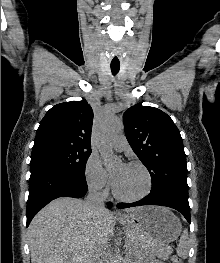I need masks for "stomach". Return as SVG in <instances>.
<instances>
[{
	"mask_svg": "<svg viewBox=\"0 0 220 263\" xmlns=\"http://www.w3.org/2000/svg\"><path fill=\"white\" fill-rule=\"evenodd\" d=\"M118 220L127 230L137 233L138 248L149 249L152 244H168L178 238L182 229L177 216L160 206L140 207Z\"/></svg>",
	"mask_w": 220,
	"mask_h": 263,
	"instance_id": "stomach-1",
	"label": "stomach"
}]
</instances>
